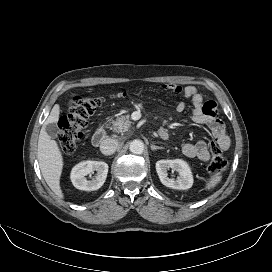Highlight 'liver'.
Here are the masks:
<instances>
[{"label": "liver", "instance_id": "1", "mask_svg": "<svg viewBox=\"0 0 272 272\" xmlns=\"http://www.w3.org/2000/svg\"><path fill=\"white\" fill-rule=\"evenodd\" d=\"M60 115V106L55 104L41 128L39 139L37 156L41 173L50 187V189L60 198H63V192L60 187V177L63 170V157L60 148L56 141L51 140V137L47 134L45 126L50 123L58 121Z\"/></svg>", "mask_w": 272, "mask_h": 272}]
</instances>
